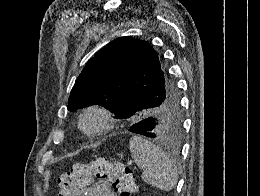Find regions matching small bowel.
I'll return each instance as SVG.
<instances>
[{
	"mask_svg": "<svg viewBox=\"0 0 260 196\" xmlns=\"http://www.w3.org/2000/svg\"><path fill=\"white\" fill-rule=\"evenodd\" d=\"M85 196H116L110 182L107 180H97L89 184L84 190Z\"/></svg>",
	"mask_w": 260,
	"mask_h": 196,
	"instance_id": "1",
	"label": "small bowel"
}]
</instances>
